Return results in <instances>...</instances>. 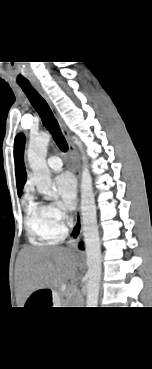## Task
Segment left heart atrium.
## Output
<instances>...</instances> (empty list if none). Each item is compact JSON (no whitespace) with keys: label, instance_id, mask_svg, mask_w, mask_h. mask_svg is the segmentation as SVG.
Instances as JSON below:
<instances>
[{"label":"left heart atrium","instance_id":"left-heart-atrium-1","mask_svg":"<svg viewBox=\"0 0 152 369\" xmlns=\"http://www.w3.org/2000/svg\"><path fill=\"white\" fill-rule=\"evenodd\" d=\"M55 187L60 197V205L66 210H72L76 203V182L71 173L65 172L54 180Z\"/></svg>","mask_w":152,"mask_h":369}]
</instances>
